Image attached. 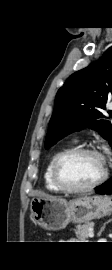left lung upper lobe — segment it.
<instances>
[{"instance_id":"obj_1","label":"left lung upper lobe","mask_w":112,"mask_h":270,"mask_svg":"<svg viewBox=\"0 0 112 270\" xmlns=\"http://www.w3.org/2000/svg\"><path fill=\"white\" fill-rule=\"evenodd\" d=\"M111 97L112 47L97 62L72 74L57 92L45 148L86 127L98 131L112 146V124L102 113Z\"/></svg>"}]
</instances>
